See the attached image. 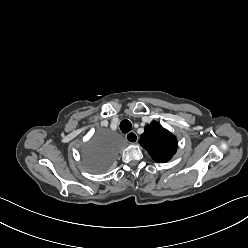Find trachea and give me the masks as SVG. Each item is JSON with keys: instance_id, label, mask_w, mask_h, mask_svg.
Here are the masks:
<instances>
[{"instance_id": "3493384b", "label": "trachea", "mask_w": 248, "mask_h": 248, "mask_svg": "<svg viewBox=\"0 0 248 248\" xmlns=\"http://www.w3.org/2000/svg\"><path fill=\"white\" fill-rule=\"evenodd\" d=\"M132 129V124L129 120H122L120 123V130L123 133H127Z\"/></svg>"}]
</instances>
